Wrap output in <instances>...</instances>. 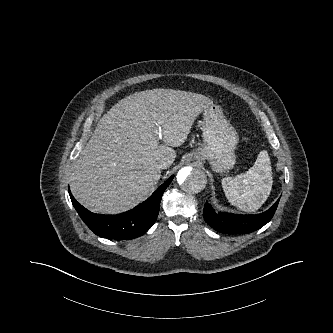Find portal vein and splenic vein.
Wrapping results in <instances>:
<instances>
[{"instance_id":"18ae733b","label":"portal vein and splenic vein","mask_w":333,"mask_h":333,"mask_svg":"<svg viewBox=\"0 0 333 333\" xmlns=\"http://www.w3.org/2000/svg\"><path fill=\"white\" fill-rule=\"evenodd\" d=\"M157 134H158L159 138H162V130H161V128L158 129Z\"/></svg>"}]
</instances>
